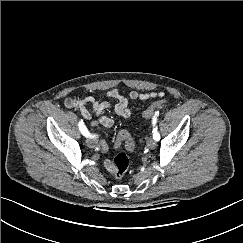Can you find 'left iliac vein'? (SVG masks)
I'll use <instances>...</instances> for the list:
<instances>
[{
	"mask_svg": "<svg viewBox=\"0 0 243 243\" xmlns=\"http://www.w3.org/2000/svg\"><path fill=\"white\" fill-rule=\"evenodd\" d=\"M147 146L150 148V149H154L155 146H156V141L153 139V138H149L147 140Z\"/></svg>",
	"mask_w": 243,
	"mask_h": 243,
	"instance_id": "1",
	"label": "left iliac vein"
}]
</instances>
